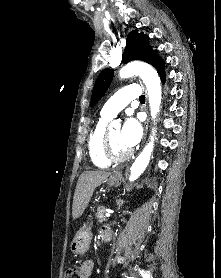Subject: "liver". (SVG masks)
<instances>
[{
    "mask_svg": "<svg viewBox=\"0 0 221 278\" xmlns=\"http://www.w3.org/2000/svg\"><path fill=\"white\" fill-rule=\"evenodd\" d=\"M109 176L110 173L104 171H85L80 175L72 205V217L74 220L83 214L96 187L106 181Z\"/></svg>",
    "mask_w": 221,
    "mask_h": 278,
    "instance_id": "1",
    "label": "liver"
}]
</instances>
